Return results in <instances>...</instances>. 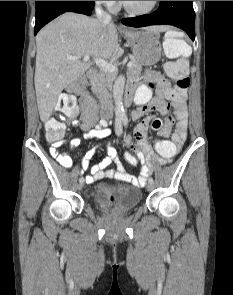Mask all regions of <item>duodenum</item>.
Returning <instances> with one entry per match:
<instances>
[{"instance_id": "duodenum-1", "label": "duodenum", "mask_w": 233, "mask_h": 295, "mask_svg": "<svg viewBox=\"0 0 233 295\" xmlns=\"http://www.w3.org/2000/svg\"><path fill=\"white\" fill-rule=\"evenodd\" d=\"M96 74H97L96 70L91 69L88 71L87 76H88V78L93 79V78H95ZM133 93H134V91L131 87L127 88L126 96L128 99L132 98ZM100 113H101L102 117H104V118H108L111 115V110H110L108 101L106 99H103L101 102Z\"/></svg>"}]
</instances>
